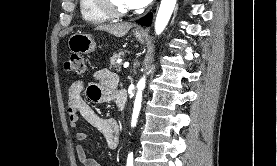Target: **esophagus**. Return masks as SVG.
I'll list each match as a JSON object with an SVG mask.
<instances>
[{
	"label": "esophagus",
	"mask_w": 277,
	"mask_h": 166,
	"mask_svg": "<svg viewBox=\"0 0 277 166\" xmlns=\"http://www.w3.org/2000/svg\"><path fill=\"white\" fill-rule=\"evenodd\" d=\"M137 31L142 34L146 33V30L143 28H138Z\"/></svg>",
	"instance_id": "esophagus-1"
}]
</instances>
